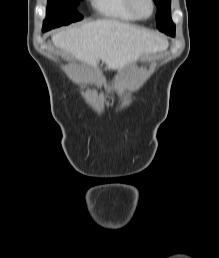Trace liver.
Here are the masks:
<instances>
[{
    "label": "liver",
    "instance_id": "obj_1",
    "mask_svg": "<svg viewBox=\"0 0 219 258\" xmlns=\"http://www.w3.org/2000/svg\"><path fill=\"white\" fill-rule=\"evenodd\" d=\"M55 46L94 68L99 60L108 69H122L165 44L156 35L116 20H97L52 36Z\"/></svg>",
    "mask_w": 219,
    "mask_h": 258
}]
</instances>
